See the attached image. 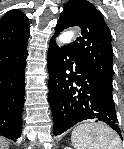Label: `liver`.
Here are the masks:
<instances>
[{
	"mask_svg": "<svg viewBox=\"0 0 124 149\" xmlns=\"http://www.w3.org/2000/svg\"><path fill=\"white\" fill-rule=\"evenodd\" d=\"M8 146L9 145L6 140L0 137V149H8Z\"/></svg>",
	"mask_w": 124,
	"mask_h": 149,
	"instance_id": "1",
	"label": "liver"
}]
</instances>
